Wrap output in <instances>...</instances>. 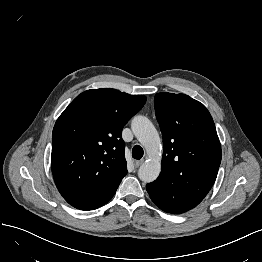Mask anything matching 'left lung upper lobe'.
<instances>
[{"mask_svg":"<svg viewBox=\"0 0 262 262\" xmlns=\"http://www.w3.org/2000/svg\"><path fill=\"white\" fill-rule=\"evenodd\" d=\"M155 111L163 135L159 177L146 185L162 210L180 214L207 195L221 163V146L207 108L185 94L157 93Z\"/></svg>","mask_w":262,"mask_h":262,"instance_id":"obj_1","label":"left lung upper lobe"}]
</instances>
